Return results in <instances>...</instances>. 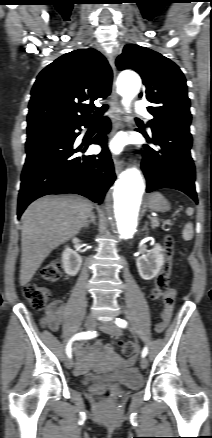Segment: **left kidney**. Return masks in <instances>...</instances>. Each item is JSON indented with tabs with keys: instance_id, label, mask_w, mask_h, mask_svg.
<instances>
[{
	"instance_id": "obj_1",
	"label": "left kidney",
	"mask_w": 212,
	"mask_h": 438,
	"mask_svg": "<svg viewBox=\"0 0 212 438\" xmlns=\"http://www.w3.org/2000/svg\"><path fill=\"white\" fill-rule=\"evenodd\" d=\"M162 252L163 249L161 245L155 244L146 254L137 258L136 266L142 279L151 280L159 273L164 264Z\"/></svg>"
}]
</instances>
